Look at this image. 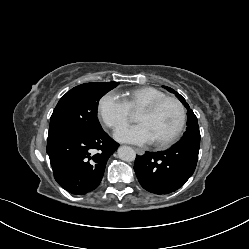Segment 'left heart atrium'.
Masks as SVG:
<instances>
[{
  "mask_svg": "<svg viewBox=\"0 0 249 249\" xmlns=\"http://www.w3.org/2000/svg\"><path fill=\"white\" fill-rule=\"evenodd\" d=\"M115 137L119 141L139 145L153 141L150 131L143 123L122 127L115 132Z\"/></svg>",
  "mask_w": 249,
  "mask_h": 249,
  "instance_id": "39dd6f15",
  "label": "left heart atrium"
}]
</instances>
